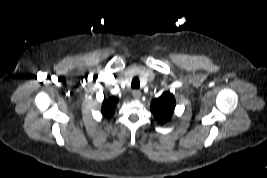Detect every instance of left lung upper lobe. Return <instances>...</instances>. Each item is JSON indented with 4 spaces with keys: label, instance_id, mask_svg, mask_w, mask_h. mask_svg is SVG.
Wrapping results in <instances>:
<instances>
[{
    "label": "left lung upper lobe",
    "instance_id": "left-lung-upper-lobe-1",
    "mask_svg": "<svg viewBox=\"0 0 267 178\" xmlns=\"http://www.w3.org/2000/svg\"><path fill=\"white\" fill-rule=\"evenodd\" d=\"M176 102L174 96L169 92H164L159 98L151 103V111L160 123H165L173 114Z\"/></svg>",
    "mask_w": 267,
    "mask_h": 178
}]
</instances>
